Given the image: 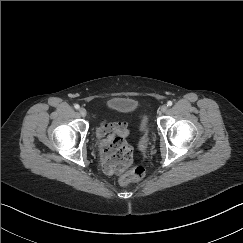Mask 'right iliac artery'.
Here are the masks:
<instances>
[{
  "instance_id": "right-iliac-artery-1",
  "label": "right iliac artery",
  "mask_w": 243,
  "mask_h": 243,
  "mask_svg": "<svg viewBox=\"0 0 243 243\" xmlns=\"http://www.w3.org/2000/svg\"><path fill=\"white\" fill-rule=\"evenodd\" d=\"M74 107H75V109H79L80 108V106L78 104H75Z\"/></svg>"
}]
</instances>
